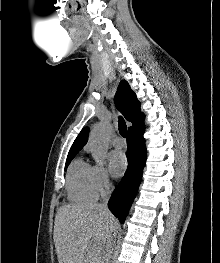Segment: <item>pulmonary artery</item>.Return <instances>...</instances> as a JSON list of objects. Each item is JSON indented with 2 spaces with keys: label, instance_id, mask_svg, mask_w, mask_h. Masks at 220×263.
Instances as JSON below:
<instances>
[{
  "label": "pulmonary artery",
  "instance_id": "1",
  "mask_svg": "<svg viewBox=\"0 0 220 263\" xmlns=\"http://www.w3.org/2000/svg\"><path fill=\"white\" fill-rule=\"evenodd\" d=\"M112 144L115 148H121L123 147L124 145V142L123 140L120 138V137H115L113 140H112Z\"/></svg>",
  "mask_w": 220,
  "mask_h": 263
}]
</instances>
